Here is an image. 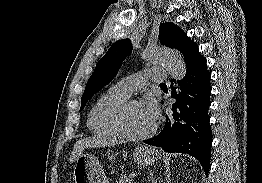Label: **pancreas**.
I'll return each instance as SVG.
<instances>
[{"label":"pancreas","instance_id":"obj_1","mask_svg":"<svg viewBox=\"0 0 262 183\" xmlns=\"http://www.w3.org/2000/svg\"><path fill=\"white\" fill-rule=\"evenodd\" d=\"M116 183H134L131 175H121Z\"/></svg>","mask_w":262,"mask_h":183}]
</instances>
